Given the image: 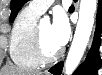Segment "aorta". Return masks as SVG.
<instances>
[{
  "instance_id": "1",
  "label": "aorta",
  "mask_w": 102,
  "mask_h": 75,
  "mask_svg": "<svg viewBox=\"0 0 102 75\" xmlns=\"http://www.w3.org/2000/svg\"><path fill=\"white\" fill-rule=\"evenodd\" d=\"M96 8L97 0H81L79 20L65 62V75H71L74 72L84 54L93 28ZM48 20V17H44L42 22Z\"/></svg>"
}]
</instances>
